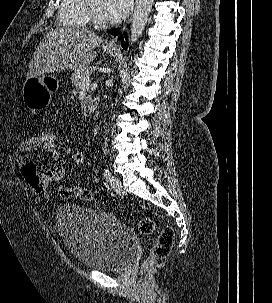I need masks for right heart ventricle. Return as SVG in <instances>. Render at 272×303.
Listing matches in <instances>:
<instances>
[{
  "instance_id": "e07e8e85",
  "label": "right heart ventricle",
  "mask_w": 272,
  "mask_h": 303,
  "mask_svg": "<svg viewBox=\"0 0 272 303\" xmlns=\"http://www.w3.org/2000/svg\"><path fill=\"white\" fill-rule=\"evenodd\" d=\"M87 0H60L59 24L66 27L84 28L90 23L86 10Z\"/></svg>"
}]
</instances>
